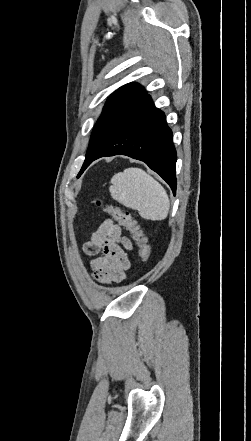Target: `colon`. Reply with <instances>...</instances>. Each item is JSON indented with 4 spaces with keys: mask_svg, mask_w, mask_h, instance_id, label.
I'll list each match as a JSON object with an SVG mask.
<instances>
[{
    "mask_svg": "<svg viewBox=\"0 0 251 441\" xmlns=\"http://www.w3.org/2000/svg\"><path fill=\"white\" fill-rule=\"evenodd\" d=\"M95 203L132 234L138 245L140 257L142 261L146 262L150 257V247L139 225L136 220L131 217L130 213L105 202L102 198H96Z\"/></svg>",
    "mask_w": 251,
    "mask_h": 441,
    "instance_id": "1",
    "label": "colon"
}]
</instances>
